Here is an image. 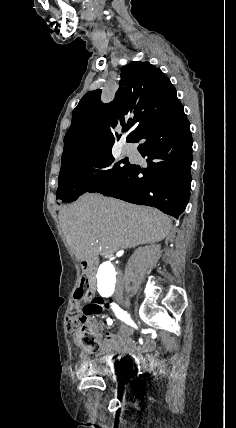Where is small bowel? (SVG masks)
Here are the masks:
<instances>
[{
    "instance_id": "c3829d8e",
    "label": "small bowel",
    "mask_w": 236,
    "mask_h": 428,
    "mask_svg": "<svg viewBox=\"0 0 236 428\" xmlns=\"http://www.w3.org/2000/svg\"><path fill=\"white\" fill-rule=\"evenodd\" d=\"M132 329L123 325L118 334L106 333L98 356L93 360L86 353L78 354L77 373L82 374L97 367L99 363L106 366L115 365L116 361L125 356L132 357L138 364L148 366L155 363L153 359L146 362L141 353L151 351L155 347V341L147 338L136 344L131 339Z\"/></svg>"
}]
</instances>
